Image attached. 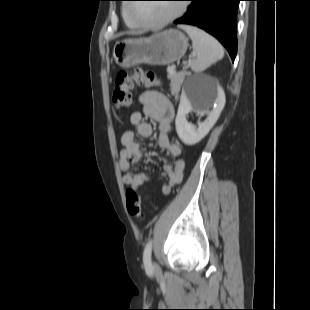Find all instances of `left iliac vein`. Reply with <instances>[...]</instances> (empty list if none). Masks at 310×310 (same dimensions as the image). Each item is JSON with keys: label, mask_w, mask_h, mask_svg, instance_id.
<instances>
[{"label": "left iliac vein", "mask_w": 310, "mask_h": 310, "mask_svg": "<svg viewBox=\"0 0 310 310\" xmlns=\"http://www.w3.org/2000/svg\"><path fill=\"white\" fill-rule=\"evenodd\" d=\"M153 270L154 273L158 274L160 272V268L156 263H153Z\"/></svg>", "instance_id": "obj_1"}]
</instances>
